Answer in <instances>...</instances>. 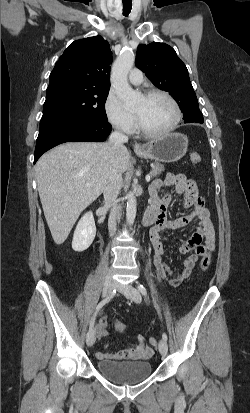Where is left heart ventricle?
I'll use <instances>...</instances> for the list:
<instances>
[{
    "label": "left heart ventricle",
    "mask_w": 250,
    "mask_h": 413,
    "mask_svg": "<svg viewBox=\"0 0 250 413\" xmlns=\"http://www.w3.org/2000/svg\"><path fill=\"white\" fill-rule=\"evenodd\" d=\"M134 112L139 116L144 127L152 132L167 129L175 118L172 104L162 96L142 97Z\"/></svg>",
    "instance_id": "obj_1"
}]
</instances>
